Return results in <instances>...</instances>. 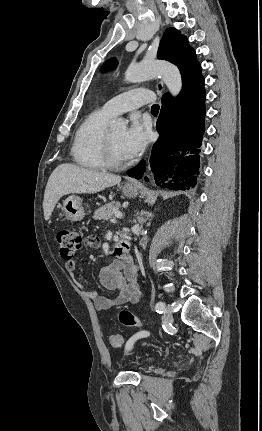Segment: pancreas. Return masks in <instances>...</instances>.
I'll use <instances>...</instances> for the list:
<instances>
[{
    "label": "pancreas",
    "mask_w": 262,
    "mask_h": 431,
    "mask_svg": "<svg viewBox=\"0 0 262 431\" xmlns=\"http://www.w3.org/2000/svg\"><path fill=\"white\" fill-rule=\"evenodd\" d=\"M119 208H120L119 202H110L98 208L95 211L93 218L95 220H101V219L107 220L109 218H112L115 212L119 211Z\"/></svg>",
    "instance_id": "cf45deb5"
}]
</instances>
